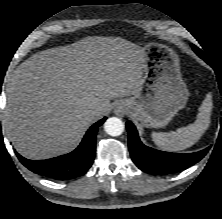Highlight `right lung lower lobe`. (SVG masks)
Listing matches in <instances>:
<instances>
[{
  "label": "right lung lower lobe",
  "mask_w": 222,
  "mask_h": 219,
  "mask_svg": "<svg viewBox=\"0 0 222 219\" xmlns=\"http://www.w3.org/2000/svg\"><path fill=\"white\" fill-rule=\"evenodd\" d=\"M106 117L96 122L86 132L80 145L72 152L59 157L32 161L17 152L21 163L34 173L52 179L64 180L79 177L92 166L96 151V133L98 127L104 123ZM1 131V130H0Z\"/></svg>",
  "instance_id": "obj_1"
}]
</instances>
